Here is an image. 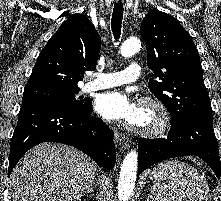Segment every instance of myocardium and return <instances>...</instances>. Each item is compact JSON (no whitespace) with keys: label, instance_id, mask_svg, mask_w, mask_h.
I'll list each match as a JSON object with an SVG mask.
<instances>
[{"label":"myocardium","instance_id":"myocardium-1","mask_svg":"<svg viewBox=\"0 0 221 201\" xmlns=\"http://www.w3.org/2000/svg\"><path fill=\"white\" fill-rule=\"evenodd\" d=\"M138 107L150 112L153 122L148 126H138L128 123L127 129L131 132L140 135L156 136L165 133L170 128L171 116L161 100L150 96L142 97L138 102Z\"/></svg>","mask_w":221,"mask_h":201}]
</instances>
